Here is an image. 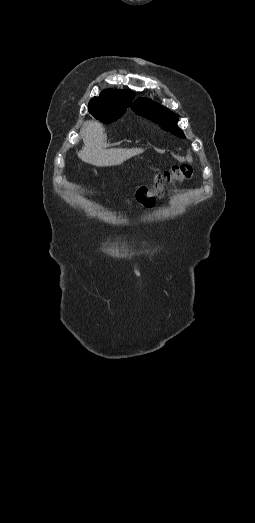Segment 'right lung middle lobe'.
<instances>
[{
	"mask_svg": "<svg viewBox=\"0 0 255 523\" xmlns=\"http://www.w3.org/2000/svg\"><path fill=\"white\" fill-rule=\"evenodd\" d=\"M131 104V101L129 102H118V103H109V104H98L94 106H90L89 112L94 116L96 119L100 120L101 122L108 124L111 123L118 118H120L125 112L126 108L129 107Z\"/></svg>",
	"mask_w": 255,
	"mask_h": 523,
	"instance_id": "obj_1",
	"label": "right lung middle lobe"
}]
</instances>
